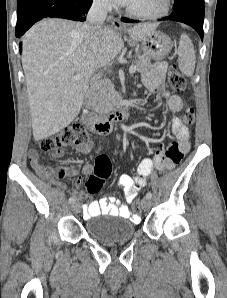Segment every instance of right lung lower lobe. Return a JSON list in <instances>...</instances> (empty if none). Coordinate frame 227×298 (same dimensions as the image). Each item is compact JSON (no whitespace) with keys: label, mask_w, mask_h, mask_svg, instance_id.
<instances>
[{"label":"right lung lower lobe","mask_w":227,"mask_h":298,"mask_svg":"<svg viewBox=\"0 0 227 298\" xmlns=\"http://www.w3.org/2000/svg\"><path fill=\"white\" fill-rule=\"evenodd\" d=\"M91 4L92 0H27L17 7L16 37L20 38L34 23L47 17L85 21Z\"/></svg>","instance_id":"right-lung-lower-lobe-1"}]
</instances>
